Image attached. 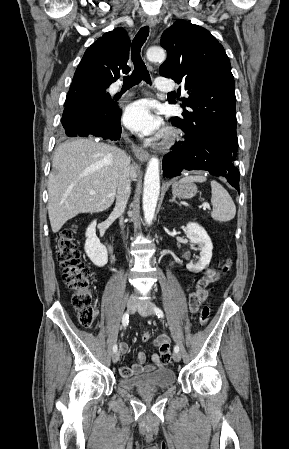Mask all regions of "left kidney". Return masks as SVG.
Returning a JSON list of instances; mask_svg holds the SVG:
<instances>
[{"label":"left kidney","instance_id":"5707ae66","mask_svg":"<svg viewBox=\"0 0 289 449\" xmlns=\"http://www.w3.org/2000/svg\"><path fill=\"white\" fill-rule=\"evenodd\" d=\"M187 237L200 248L199 261L196 263L190 262L186 268L192 272H200L205 269L212 258L213 244L205 229L197 223L187 224Z\"/></svg>","mask_w":289,"mask_h":449}]
</instances>
